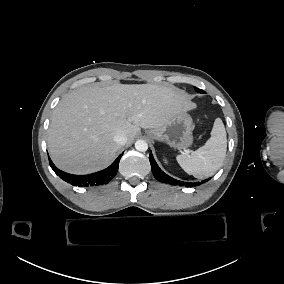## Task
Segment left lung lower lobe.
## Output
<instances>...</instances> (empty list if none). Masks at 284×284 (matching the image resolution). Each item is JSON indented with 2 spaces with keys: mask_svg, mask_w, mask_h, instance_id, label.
<instances>
[{
  "mask_svg": "<svg viewBox=\"0 0 284 284\" xmlns=\"http://www.w3.org/2000/svg\"><path fill=\"white\" fill-rule=\"evenodd\" d=\"M150 163H151V169H152V172H153V175L155 176V178L162 182V183H168V184H171V185H180V186H187V187H192V186H197L198 184H202V183H205L207 182L209 179H206L202 182H195V183H190V182H182V181H179V180H176L170 176H168L167 174H165L160 168L159 166L157 165L156 161L154 160L153 158V155L152 153L150 152Z\"/></svg>",
  "mask_w": 284,
  "mask_h": 284,
  "instance_id": "1",
  "label": "left lung lower lobe"
}]
</instances>
